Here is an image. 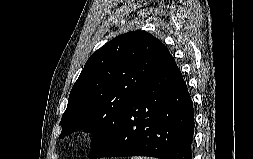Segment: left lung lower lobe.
<instances>
[{
  "label": "left lung lower lobe",
  "instance_id": "0a47b994",
  "mask_svg": "<svg viewBox=\"0 0 253 159\" xmlns=\"http://www.w3.org/2000/svg\"><path fill=\"white\" fill-rule=\"evenodd\" d=\"M194 110L174 60L121 112L113 131L90 159L151 156L192 159Z\"/></svg>",
  "mask_w": 253,
  "mask_h": 159
}]
</instances>
